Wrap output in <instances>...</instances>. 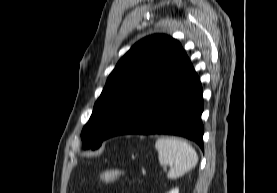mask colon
Listing matches in <instances>:
<instances>
[{"label": "colon", "mask_w": 277, "mask_h": 193, "mask_svg": "<svg viewBox=\"0 0 277 193\" xmlns=\"http://www.w3.org/2000/svg\"><path fill=\"white\" fill-rule=\"evenodd\" d=\"M123 176L124 173L116 169L104 170L98 174L99 180L104 183H115L119 181Z\"/></svg>", "instance_id": "5ec220e1"}]
</instances>
